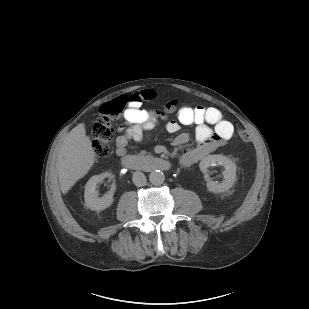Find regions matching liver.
Wrapping results in <instances>:
<instances>
[{
  "instance_id": "1",
  "label": "liver",
  "mask_w": 309,
  "mask_h": 309,
  "mask_svg": "<svg viewBox=\"0 0 309 309\" xmlns=\"http://www.w3.org/2000/svg\"><path fill=\"white\" fill-rule=\"evenodd\" d=\"M94 162L92 142L86 135L85 124L80 123L69 132L58 151L56 168L62 193L66 194L84 177Z\"/></svg>"
}]
</instances>
